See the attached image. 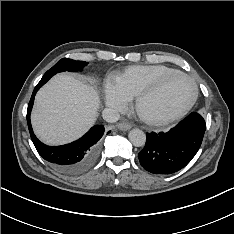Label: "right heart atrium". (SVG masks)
I'll list each match as a JSON object with an SVG mask.
<instances>
[{"instance_id": "right-heart-atrium-1", "label": "right heart atrium", "mask_w": 234, "mask_h": 234, "mask_svg": "<svg viewBox=\"0 0 234 234\" xmlns=\"http://www.w3.org/2000/svg\"><path fill=\"white\" fill-rule=\"evenodd\" d=\"M104 96L107 105L118 111H123L128 105L129 100L120 92L116 83L113 81L106 83Z\"/></svg>"}]
</instances>
